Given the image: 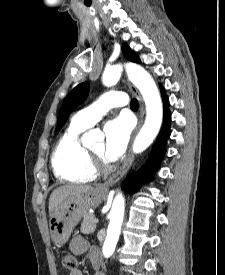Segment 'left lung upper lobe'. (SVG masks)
I'll use <instances>...</instances> for the list:
<instances>
[{"mask_svg": "<svg viewBox=\"0 0 225 275\" xmlns=\"http://www.w3.org/2000/svg\"><path fill=\"white\" fill-rule=\"evenodd\" d=\"M122 52L124 56L133 62L141 63L137 54L132 51L127 44H123ZM89 91V84L87 82L81 83L76 86L64 99L56 130L58 131L66 122L69 114L86 98Z\"/></svg>", "mask_w": 225, "mask_h": 275, "instance_id": "left-lung-upper-lobe-1", "label": "left lung upper lobe"}]
</instances>
